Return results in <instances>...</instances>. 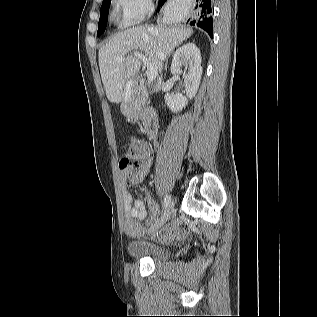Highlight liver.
Masks as SVG:
<instances>
[{"label":"liver","instance_id":"liver-1","mask_svg":"<svg viewBox=\"0 0 317 317\" xmlns=\"http://www.w3.org/2000/svg\"><path fill=\"white\" fill-rule=\"evenodd\" d=\"M193 33L186 27L129 28L113 36L99 49V68L108 100L120 103L125 97V87L137 75L141 62L135 55L144 51L148 60L161 72L164 59ZM164 54L161 60L159 54ZM126 56V57H125ZM123 60H119V58Z\"/></svg>","mask_w":317,"mask_h":317}]
</instances>
